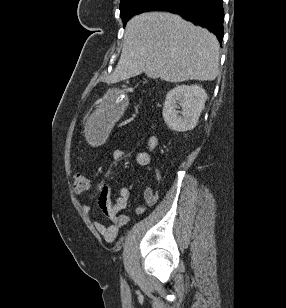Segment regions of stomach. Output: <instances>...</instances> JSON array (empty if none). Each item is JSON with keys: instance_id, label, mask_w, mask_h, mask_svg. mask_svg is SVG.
<instances>
[{"instance_id": "stomach-1", "label": "stomach", "mask_w": 286, "mask_h": 308, "mask_svg": "<svg viewBox=\"0 0 286 308\" xmlns=\"http://www.w3.org/2000/svg\"><path fill=\"white\" fill-rule=\"evenodd\" d=\"M126 97L123 89H104L102 97H99L97 109H90L89 122H86L88 130L87 142H106L107 130L113 129V124H118L119 110H124Z\"/></svg>"}]
</instances>
